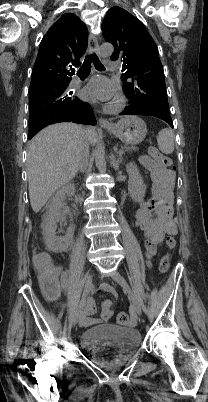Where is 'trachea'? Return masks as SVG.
Masks as SVG:
<instances>
[{"label": "trachea", "mask_w": 208, "mask_h": 402, "mask_svg": "<svg viewBox=\"0 0 208 402\" xmlns=\"http://www.w3.org/2000/svg\"><path fill=\"white\" fill-rule=\"evenodd\" d=\"M91 63L94 64L97 70H104V66L100 62L99 58L96 54H90L86 56L84 62L82 63L81 67L79 68L77 75L79 77H87L91 71ZM75 74V70H72L71 75Z\"/></svg>", "instance_id": "trachea-1"}]
</instances>
